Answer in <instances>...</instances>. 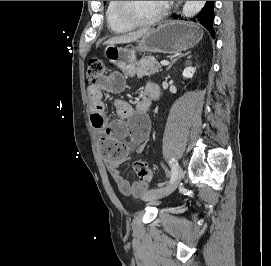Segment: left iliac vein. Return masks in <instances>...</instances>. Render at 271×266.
I'll use <instances>...</instances> for the list:
<instances>
[{"mask_svg":"<svg viewBox=\"0 0 271 266\" xmlns=\"http://www.w3.org/2000/svg\"><path fill=\"white\" fill-rule=\"evenodd\" d=\"M176 169L178 173L175 180H173L170 184H168L165 187L148 191L147 193L143 195V200L154 201V200L161 199L163 197L170 195L177 188V186L179 185V183L181 182L183 178L182 169L180 168L178 164H176Z\"/></svg>","mask_w":271,"mask_h":266,"instance_id":"obj_1","label":"left iliac vein"}]
</instances>
